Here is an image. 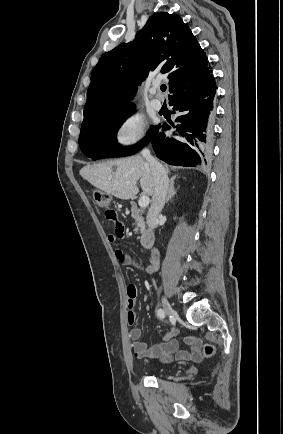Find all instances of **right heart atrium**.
Returning a JSON list of instances; mask_svg holds the SVG:
<instances>
[{
  "instance_id": "d8ad5b80",
  "label": "right heart atrium",
  "mask_w": 283,
  "mask_h": 434,
  "mask_svg": "<svg viewBox=\"0 0 283 434\" xmlns=\"http://www.w3.org/2000/svg\"><path fill=\"white\" fill-rule=\"evenodd\" d=\"M146 135V122L141 114L135 111L125 113L115 128V142L123 149L140 143Z\"/></svg>"
}]
</instances>
